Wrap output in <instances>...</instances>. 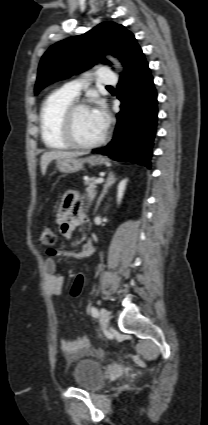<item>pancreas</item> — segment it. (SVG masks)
<instances>
[{
    "label": "pancreas",
    "mask_w": 208,
    "mask_h": 425,
    "mask_svg": "<svg viewBox=\"0 0 208 425\" xmlns=\"http://www.w3.org/2000/svg\"><path fill=\"white\" fill-rule=\"evenodd\" d=\"M96 180L97 179L95 177H92L85 181V185H87V187L86 195L84 196V198H86L88 202H91L97 194Z\"/></svg>",
    "instance_id": "obj_1"
}]
</instances>
